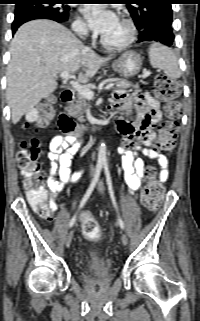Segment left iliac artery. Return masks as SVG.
<instances>
[{
	"mask_svg": "<svg viewBox=\"0 0 200 321\" xmlns=\"http://www.w3.org/2000/svg\"><path fill=\"white\" fill-rule=\"evenodd\" d=\"M104 170H105L106 182H107V185H108V190H109V193H110V197H111L112 203H113L114 207L116 208V210L118 211L117 204H116V199H115L114 191H113V187H112L111 177H110L109 169H108V166H107L106 163L104 164ZM118 223H119L120 228L124 229V222H123V220H122V218L120 216L118 218Z\"/></svg>",
	"mask_w": 200,
	"mask_h": 321,
	"instance_id": "obj_1",
	"label": "left iliac artery"
}]
</instances>
